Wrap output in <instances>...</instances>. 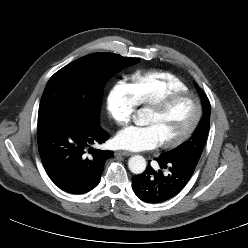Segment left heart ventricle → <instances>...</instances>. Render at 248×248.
<instances>
[{"instance_id":"obj_1","label":"left heart ventricle","mask_w":248,"mask_h":248,"mask_svg":"<svg viewBox=\"0 0 248 248\" xmlns=\"http://www.w3.org/2000/svg\"><path fill=\"white\" fill-rule=\"evenodd\" d=\"M195 103L191 98L175 101L164 112L148 110L144 124L155 128L160 142L180 136L190 125L195 114Z\"/></svg>"}]
</instances>
